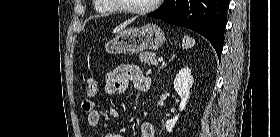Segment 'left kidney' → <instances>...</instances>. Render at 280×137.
I'll use <instances>...</instances> for the list:
<instances>
[{
    "mask_svg": "<svg viewBox=\"0 0 280 137\" xmlns=\"http://www.w3.org/2000/svg\"><path fill=\"white\" fill-rule=\"evenodd\" d=\"M194 83L193 76L191 75V69L184 67L176 74L174 80V89L177 94L181 97L179 105V111H183L186 108V104L190 97V89ZM179 114L173 117V119L167 120L165 123L166 130L172 132L176 122L178 121Z\"/></svg>",
    "mask_w": 280,
    "mask_h": 137,
    "instance_id": "5707ae66",
    "label": "left kidney"
}]
</instances>
